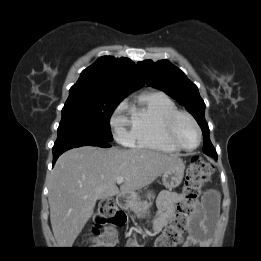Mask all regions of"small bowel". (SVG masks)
Returning a JSON list of instances; mask_svg holds the SVG:
<instances>
[{"label":"small bowel","mask_w":261,"mask_h":261,"mask_svg":"<svg viewBox=\"0 0 261 261\" xmlns=\"http://www.w3.org/2000/svg\"><path fill=\"white\" fill-rule=\"evenodd\" d=\"M184 199L180 192L163 191L157 201V211L152 220V229L159 232L163 229L175 212L176 205ZM201 209L191 221L192 234L184 240V246L193 248L204 241L208 231L214 227L218 216L217 194L208 190L203 198Z\"/></svg>","instance_id":"c3829d8e"}]
</instances>
